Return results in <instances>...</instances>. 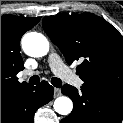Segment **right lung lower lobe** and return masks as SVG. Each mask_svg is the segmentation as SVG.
I'll return each instance as SVG.
<instances>
[{"label":"right lung lower lobe","mask_w":123,"mask_h":123,"mask_svg":"<svg viewBox=\"0 0 123 123\" xmlns=\"http://www.w3.org/2000/svg\"><path fill=\"white\" fill-rule=\"evenodd\" d=\"M53 99V87L46 81L21 93L1 96V123H33L36 110Z\"/></svg>","instance_id":"right-lung-lower-lobe-1"}]
</instances>
